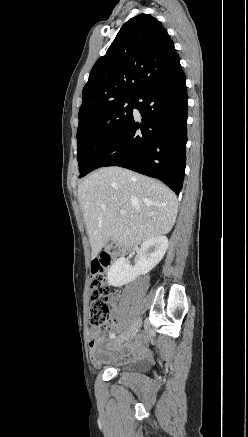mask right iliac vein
<instances>
[{
    "label": "right iliac vein",
    "instance_id": "1",
    "mask_svg": "<svg viewBox=\"0 0 248 437\" xmlns=\"http://www.w3.org/2000/svg\"><path fill=\"white\" fill-rule=\"evenodd\" d=\"M140 326H141V319H138L134 322V324L131 326L130 330L127 333L118 336L113 341V346H119L125 341H127L128 339H130L132 336H134L137 333Z\"/></svg>",
    "mask_w": 248,
    "mask_h": 437
}]
</instances>
